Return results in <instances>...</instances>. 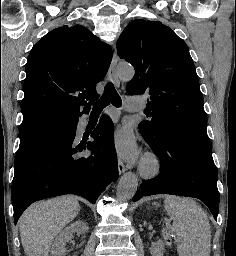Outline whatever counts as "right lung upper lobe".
I'll use <instances>...</instances> for the list:
<instances>
[{
	"label": "right lung upper lobe",
	"mask_w": 236,
	"mask_h": 256,
	"mask_svg": "<svg viewBox=\"0 0 236 256\" xmlns=\"http://www.w3.org/2000/svg\"><path fill=\"white\" fill-rule=\"evenodd\" d=\"M112 49L83 26H62L33 47L26 64L23 120L45 113L78 119L99 98ZM86 105L81 112V107Z\"/></svg>",
	"instance_id": "obj_1"
}]
</instances>
